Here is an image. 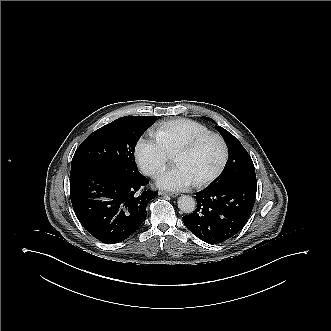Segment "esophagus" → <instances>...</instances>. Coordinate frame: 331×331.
<instances>
[{
	"label": "esophagus",
	"instance_id": "esophagus-1",
	"mask_svg": "<svg viewBox=\"0 0 331 331\" xmlns=\"http://www.w3.org/2000/svg\"><path fill=\"white\" fill-rule=\"evenodd\" d=\"M161 195H169V196H171V197H177L178 195H179V193L178 192H161L160 193Z\"/></svg>",
	"mask_w": 331,
	"mask_h": 331
}]
</instances>
